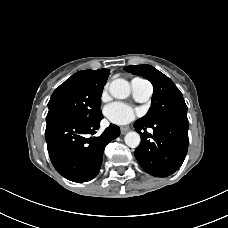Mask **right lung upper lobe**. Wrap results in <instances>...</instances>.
<instances>
[{
	"label": "right lung upper lobe",
	"mask_w": 228,
	"mask_h": 228,
	"mask_svg": "<svg viewBox=\"0 0 228 228\" xmlns=\"http://www.w3.org/2000/svg\"><path fill=\"white\" fill-rule=\"evenodd\" d=\"M109 72V69L83 70L75 73L71 78L86 84H98L103 81L106 82Z\"/></svg>",
	"instance_id": "1"
}]
</instances>
